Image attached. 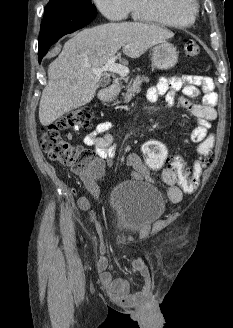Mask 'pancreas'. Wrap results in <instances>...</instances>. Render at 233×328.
<instances>
[{
	"label": "pancreas",
	"mask_w": 233,
	"mask_h": 328,
	"mask_svg": "<svg viewBox=\"0 0 233 328\" xmlns=\"http://www.w3.org/2000/svg\"><path fill=\"white\" fill-rule=\"evenodd\" d=\"M148 77L145 76H137L131 85H129L126 89V93H123L124 102L130 101V99L136 94L141 91V85L143 82H148Z\"/></svg>",
	"instance_id": "obj_1"
}]
</instances>
